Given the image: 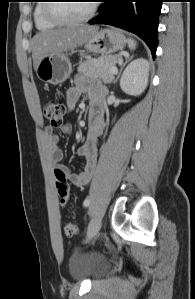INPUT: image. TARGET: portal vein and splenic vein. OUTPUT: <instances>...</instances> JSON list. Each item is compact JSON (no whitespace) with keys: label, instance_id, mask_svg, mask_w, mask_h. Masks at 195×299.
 Returning a JSON list of instances; mask_svg holds the SVG:
<instances>
[{"label":"portal vein and splenic vein","instance_id":"1","mask_svg":"<svg viewBox=\"0 0 195 299\" xmlns=\"http://www.w3.org/2000/svg\"><path fill=\"white\" fill-rule=\"evenodd\" d=\"M110 71L113 73V74H116L118 72L117 68L116 67H112L110 69Z\"/></svg>","mask_w":195,"mask_h":299}]
</instances>
